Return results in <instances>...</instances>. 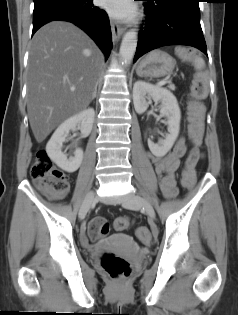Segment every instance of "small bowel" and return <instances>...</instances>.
Returning a JSON list of instances; mask_svg holds the SVG:
<instances>
[{
  "instance_id": "c3829d8e",
  "label": "small bowel",
  "mask_w": 238,
  "mask_h": 315,
  "mask_svg": "<svg viewBox=\"0 0 238 315\" xmlns=\"http://www.w3.org/2000/svg\"><path fill=\"white\" fill-rule=\"evenodd\" d=\"M186 151L187 146L185 140L183 138H180L176 142L172 151L165 156H150L154 164L155 171L159 177L160 188L167 198H173L177 194L175 174L179 168L180 159L186 154ZM200 156L201 152L199 151V149L193 148L188 155L186 168L183 172V177L187 176L190 179L192 185L195 181V165ZM141 240L144 244H148L150 242V238H144Z\"/></svg>"
}]
</instances>
